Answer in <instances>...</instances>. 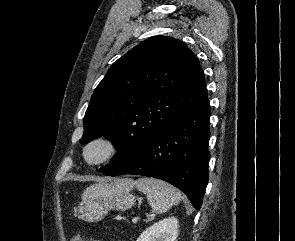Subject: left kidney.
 <instances>
[{"instance_id": "left-kidney-1", "label": "left kidney", "mask_w": 295, "mask_h": 241, "mask_svg": "<svg viewBox=\"0 0 295 241\" xmlns=\"http://www.w3.org/2000/svg\"><path fill=\"white\" fill-rule=\"evenodd\" d=\"M178 237V220L169 217L147 228L137 241H176Z\"/></svg>"}]
</instances>
